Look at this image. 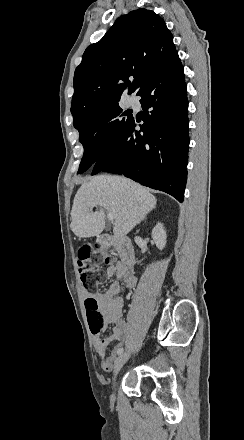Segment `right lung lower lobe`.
<instances>
[{"mask_svg":"<svg viewBox=\"0 0 244 440\" xmlns=\"http://www.w3.org/2000/svg\"><path fill=\"white\" fill-rule=\"evenodd\" d=\"M182 64L162 68L137 93L144 124L133 118L92 174H123L183 202L188 163V101ZM149 109V111H148ZM140 126V130L137 127Z\"/></svg>","mask_w":244,"mask_h":440,"instance_id":"98d812e1","label":"right lung lower lobe"}]
</instances>
